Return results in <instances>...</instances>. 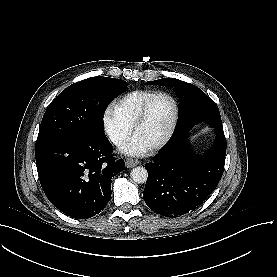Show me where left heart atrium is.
<instances>
[{
    "label": "left heart atrium",
    "mask_w": 277,
    "mask_h": 277,
    "mask_svg": "<svg viewBox=\"0 0 277 277\" xmlns=\"http://www.w3.org/2000/svg\"><path fill=\"white\" fill-rule=\"evenodd\" d=\"M121 152L132 156H141L146 152V144L139 138L132 137L122 144Z\"/></svg>",
    "instance_id": "left-heart-atrium-1"
}]
</instances>
